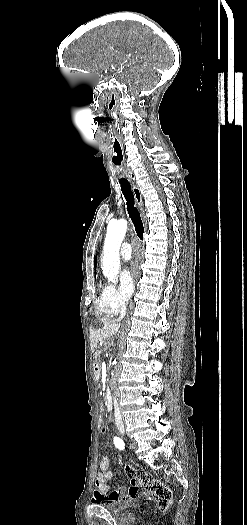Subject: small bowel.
<instances>
[{"instance_id":"c3829d8e","label":"small bowel","mask_w":247,"mask_h":525,"mask_svg":"<svg viewBox=\"0 0 247 525\" xmlns=\"http://www.w3.org/2000/svg\"><path fill=\"white\" fill-rule=\"evenodd\" d=\"M104 429V428H101ZM110 458L104 456L99 462V471L96 475V487L97 490L93 496V502L95 506H119L120 500L124 497L118 491L106 492L103 490V486L115 479L112 472L109 471ZM125 475L130 473L128 468L123 470ZM131 485L129 486L128 494L130 497L135 498L138 496L139 492L143 490V487L148 490L149 493L154 494V500L156 502V510L161 512L169 513L172 510V491L169 485H166L164 481H159L152 479L149 473L135 472L131 473L129 476Z\"/></svg>"}]
</instances>
